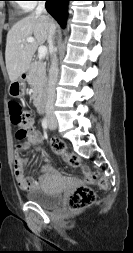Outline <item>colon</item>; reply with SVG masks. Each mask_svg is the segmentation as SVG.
Listing matches in <instances>:
<instances>
[{
    "instance_id": "obj_1",
    "label": "colon",
    "mask_w": 133,
    "mask_h": 253,
    "mask_svg": "<svg viewBox=\"0 0 133 253\" xmlns=\"http://www.w3.org/2000/svg\"><path fill=\"white\" fill-rule=\"evenodd\" d=\"M9 115L11 123L15 128V137L18 141L28 139L34 129L31 122V117L29 112L18 102L10 101L8 104ZM53 150L61 155L65 162L69 165L78 167L81 165L80 158L65 150L64 146L60 142H54ZM98 185L101 188L107 186V182L104 178H97ZM96 200V195L91 187L83 186L75 190L68 198L67 205L71 210H81L91 206Z\"/></svg>"
}]
</instances>
